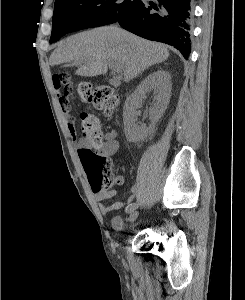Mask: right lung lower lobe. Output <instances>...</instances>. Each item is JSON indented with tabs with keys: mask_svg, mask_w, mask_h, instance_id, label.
Returning a JSON list of instances; mask_svg holds the SVG:
<instances>
[{
	"mask_svg": "<svg viewBox=\"0 0 245 300\" xmlns=\"http://www.w3.org/2000/svg\"><path fill=\"white\" fill-rule=\"evenodd\" d=\"M117 23L138 36L174 46L185 59L191 52L192 0H157L156 3L141 0ZM55 27L60 38L81 28L63 19Z\"/></svg>",
	"mask_w": 245,
	"mask_h": 300,
	"instance_id": "98d812e1",
	"label": "right lung lower lobe"
}]
</instances>
